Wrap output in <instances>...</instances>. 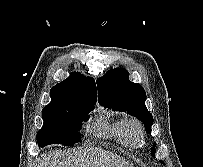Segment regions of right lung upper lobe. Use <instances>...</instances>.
Returning <instances> with one entry per match:
<instances>
[{"label": "right lung upper lobe", "instance_id": "1", "mask_svg": "<svg viewBox=\"0 0 203 167\" xmlns=\"http://www.w3.org/2000/svg\"><path fill=\"white\" fill-rule=\"evenodd\" d=\"M51 102L43 110L56 109L79 101H97L93 78L73 72L50 90Z\"/></svg>", "mask_w": 203, "mask_h": 167}]
</instances>
